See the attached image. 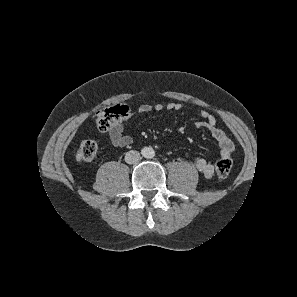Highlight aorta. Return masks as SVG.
Wrapping results in <instances>:
<instances>
[{"label": "aorta", "instance_id": "obj_1", "mask_svg": "<svg viewBox=\"0 0 297 297\" xmlns=\"http://www.w3.org/2000/svg\"><path fill=\"white\" fill-rule=\"evenodd\" d=\"M142 154L145 158H153L155 156V151L152 147H146L143 149Z\"/></svg>", "mask_w": 297, "mask_h": 297}]
</instances>
